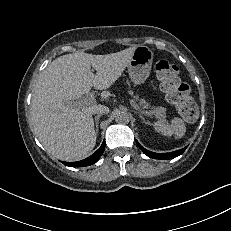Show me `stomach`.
<instances>
[{"instance_id": "stomach-1", "label": "stomach", "mask_w": 231, "mask_h": 231, "mask_svg": "<svg viewBox=\"0 0 231 231\" xmlns=\"http://www.w3.org/2000/svg\"><path fill=\"white\" fill-rule=\"evenodd\" d=\"M153 61V52L147 46L136 47L132 59L128 64V73L135 85L145 83L148 79Z\"/></svg>"}]
</instances>
